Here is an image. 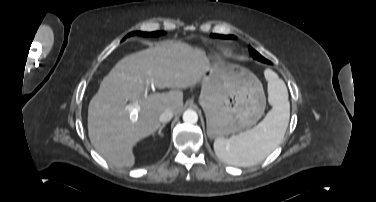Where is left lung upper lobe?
I'll use <instances>...</instances> for the list:
<instances>
[{
	"mask_svg": "<svg viewBox=\"0 0 376 202\" xmlns=\"http://www.w3.org/2000/svg\"><path fill=\"white\" fill-rule=\"evenodd\" d=\"M212 37L214 38H220V39H235L236 37L234 35H220V34H211ZM249 52H250V55L258 60V61H261V62H264V63H270V61H268L267 59H265L262 55H260L256 50H254L253 48H249Z\"/></svg>",
	"mask_w": 376,
	"mask_h": 202,
	"instance_id": "1",
	"label": "left lung upper lobe"
}]
</instances>
